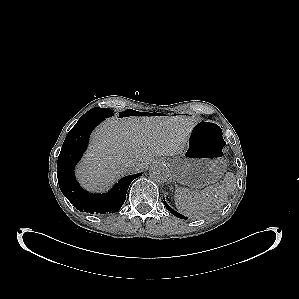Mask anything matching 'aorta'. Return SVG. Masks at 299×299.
I'll use <instances>...</instances> for the list:
<instances>
[{"mask_svg":"<svg viewBox=\"0 0 299 299\" xmlns=\"http://www.w3.org/2000/svg\"><path fill=\"white\" fill-rule=\"evenodd\" d=\"M149 175L156 182H166L170 176V171L167 166L156 164L150 168Z\"/></svg>","mask_w":299,"mask_h":299,"instance_id":"762f6f07","label":"aorta"}]
</instances>
